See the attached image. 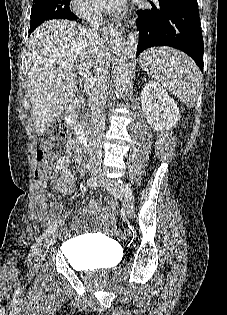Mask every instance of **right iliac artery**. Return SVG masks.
<instances>
[{
    "label": "right iliac artery",
    "mask_w": 227,
    "mask_h": 315,
    "mask_svg": "<svg viewBox=\"0 0 227 315\" xmlns=\"http://www.w3.org/2000/svg\"><path fill=\"white\" fill-rule=\"evenodd\" d=\"M100 177L101 175H95V176L90 177L87 181V185L89 187L96 186L100 180ZM60 223H61V220L58 219L56 222H54L53 224L49 226V228L42 234V236L39 239H37L36 243L33 245L32 249L30 250V253L28 255V261H31L34 255L37 253L38 247L40 243L42 242V239L47 238L51 233H53L55 229L57 228V225Z\"/></svg>",
    "instance_id": "82829eb1"
}]
</instances>
